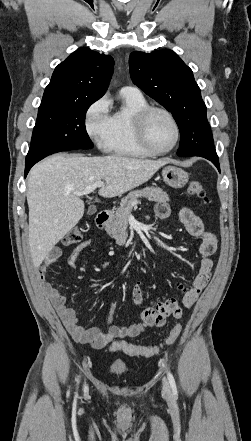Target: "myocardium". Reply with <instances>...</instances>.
Here are the masks:
<instances>
[{
	"instance_id": "f54148a6",
	"label": "myocardium",
	"mask_w": 251,
	"mask_h": 441,
	"mask_svg": "<svg viewBox=\"0 0 251 441\" xmlns=\"http://www.w3.org/2000/svg\"><path fill=\"white\" fill-rule=\"evenodd\" d=\"M155 112H160V113L165 114L169 118V120L171 121V123L174 127V130H175V140H174L173 144L165 150H158V149L154 148L148 139L147 123H148L150 116ZM134 126H135V133H136V136H137V139H138L140 145L147 152H149L152 155L168 154L171 151H173L177 147V145L179 144L180 137H181V131H180L179 124H178L175 116L173 115V113L164 107L148 106V107L142 109L135 117Z\"/></svg>"
}]
</instances>
